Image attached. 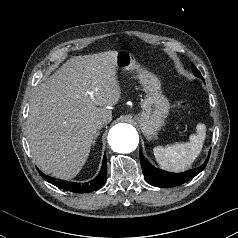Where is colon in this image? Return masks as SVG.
<instances>
[{
  "mask_svg": "<svg viewBox=\"0 0 238 238\" xmlns=\"http://www.w3.org/2000/svg\"><path fill=\"white\" fill-rule=\"evenodd\" d=\"M178 108H182L183 107V103H178Z\"/></svg>",
  "mask_w": 238,
  "mask_h": 238,
  "instance_id": "5ec220e1",
  "label": "colon"
}]
</instances>
